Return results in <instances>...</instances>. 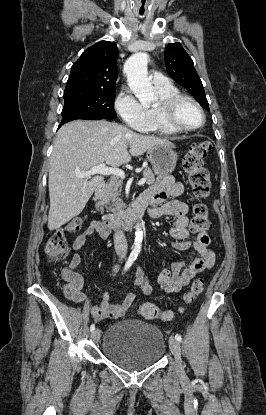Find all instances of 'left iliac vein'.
<instances>
[{"mask_svg":"<svg viewBox=\"0 0 266 415\" xmlns=\"http://www.w3.org/2000/svg\"><path fill=\"white\" fill-rule=\"evenodd\" d=\"M169 347H170V350H171L172 354L175 357L178 369L181 370L183 364H182V360H181L180 344L174 337L169 338Z\"/></svg>","mask_w":266,"mask_h":415,"instance_id":"1","label":"left iliac vein"}]
</instances>
